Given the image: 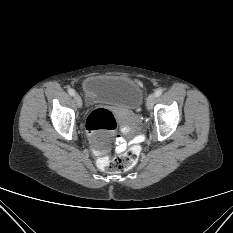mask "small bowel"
<instances>
[{
	"instance_id": "small-bowel-1",
	"label": "small bowel",
	"mask_w": 233,
	"mask_h": 233,
	"mask_svg": "<svg viewBox=\"0 0 233 233\" xmlns=\"http://www.w3.org/2000/svg\"><path fill=\"white\" fill-rule=\"evenodd\" d=\"M126 148V143L122 138H118L117 139V146H116V150L117 152H122L124 151Z\"/></svg>"
}]
</instances>
